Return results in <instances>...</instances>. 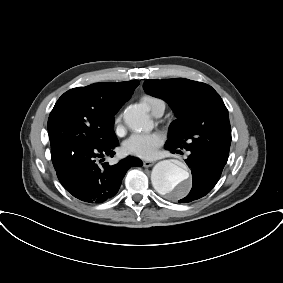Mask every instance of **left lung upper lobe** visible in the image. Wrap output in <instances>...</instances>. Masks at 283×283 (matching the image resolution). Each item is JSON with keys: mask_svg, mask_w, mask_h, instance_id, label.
I'll list each match as a JSON object with an SVG mask.
<instances>
[{"mask_svg": "<svg viewBox=\"0 0 283 283\" xmlns=\"http://www.w3.org/2000/svg\"><path fill=\"white\" fill-rule=\"evenodd\" d=\"M143 87L147 94L169 103L176 115L166 145L228 158L231 144L228 110L211 86L175 78L146 80Z\"/></svg>", "mask_w": 283, "mask_h": 283, "instance_id": "left-lung-upper-lobe-1", "label": "left lung upper lobe"}]
</instances>
